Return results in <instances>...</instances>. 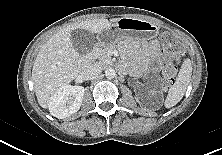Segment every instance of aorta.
<instances>
[{
    "label": "aorta",
    "instance_id": "762f6f07",
    "mask_svg": "<svg viewBox=\"0 0 222 155\" xmlns=\"http://www.w3.org/2000/svg\"><path fill=\"white\" fill-rule=\"evenodd\" d=\"M115 75H116V71H115L113 68L109 67V68H106V69H105V76H106L108 79L114 78Z\"/></svg>",
    "mask_w": 222,
    "mask_h": 155
}]
</instances>
